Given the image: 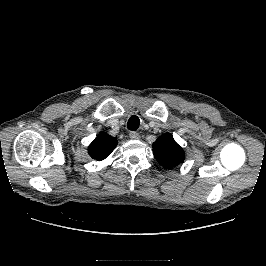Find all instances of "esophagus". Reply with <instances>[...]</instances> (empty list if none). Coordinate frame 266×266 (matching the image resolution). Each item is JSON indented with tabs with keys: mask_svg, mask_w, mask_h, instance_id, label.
I'll return each instance as SVG.
<instances>
[{
	"mask_svg": "<svg viewBox=\"0 0 266 266\" xmlns=\"http://www.w3.org/2000/svg\"><path fill=\"white\" fill-rule=\"evenodd\" d=\"M129 137H130L131 139H133V140H137V139L140 138V135H139V133H137V132H135V131H131V132L129 133Z\"/></svg>",
	"mask_w": 266,
	"mask_h": 266,
	"instance_id": "esophagus-1",
	"label": "esophagus"
}]
</instances>
